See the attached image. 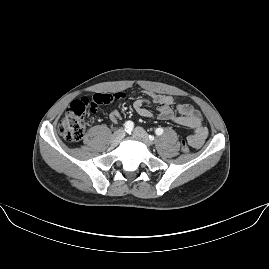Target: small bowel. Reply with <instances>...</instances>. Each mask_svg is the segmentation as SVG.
I'll list each match as a JSON object with an SVG mask.
<instances>
[{"instance_id": "small-bowel-1", "label": "small bowel", "mask_w": 269, "mask_h": 269, "mask_svg": "<svg viewBox=\"0 0 269 269\" xmlns=\"http://www.w3.org/2000/svg\"><path fill=\"white\" fill-rule=\"evenodd\" d=\"M148 98H139L133 101V109L143 117H153V114L146 106L155 104L158 106V118L161 120H168L173 123L186 126L192 129L189 136V143L191 147L199 149L208 135V129L203 125V119L198 110L190 104H179L177 106V113L172 110L174 99L169 95H162L153 91H146ZM109 121L115 124L120 118L119 110H113L109 114Z\"/></svg>"}]
</instances>
